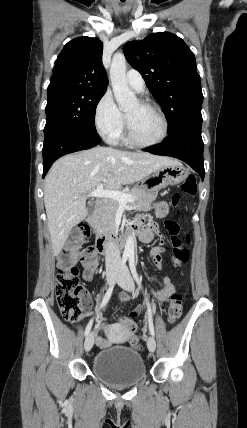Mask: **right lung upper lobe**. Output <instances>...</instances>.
I'll return each instance as SVG.
<instances>
[{"instance_id": "1", "label": "right lung upper lobe", "mask_w": 247, "mask_h": 428, "mask_svg": "<svg viewBox=\"0 0 247 428\" xmlns=\"http://www.w3.org/2000/svg\"><path fill=\"white\" fill-rule=\"evenodd\" d=\"M102 51L103 43L98 38L79 37L68 42L55 62L47 92L63 89L106 91Z\"/></svg>"}]
</instances>
